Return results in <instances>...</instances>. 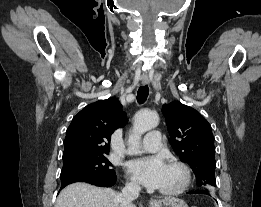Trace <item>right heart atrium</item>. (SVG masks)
<instances>
[{
    "label": "right heart atrium",
    "instance_id": "right-heart-atrium-1",
    "mask_svg": "<svg viewBox=\"0 0 261 207\" xmlns=\"http://www.w3.org/2000/svg\"><path fill=\"white\" fill-rule=\"evenodd\" d=\"M126 185L130 189H136L138 187L137 183L134 180H128Z\"/></svg>",
    "mask_w": 261,
    "mask_h": 207
}]
</instances>
